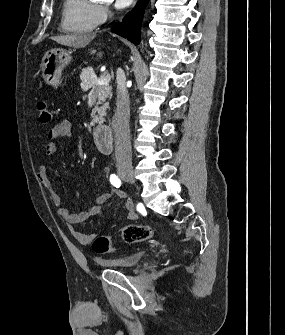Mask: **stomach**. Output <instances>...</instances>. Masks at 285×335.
<instances>
[{"label":"stomach","mask_w":285,"mask_h":335,"mask_svg":"<svg viewBox=\"0 0 285 335\" xmlns=\"http://www.w3.org/2000/svg\"><path fill=\"white\" fill-rule=\"evenodd\" d=\"M72 56L69 50L54 48L46 52L41 60L42 78L48 86H60L62 70L71 62Z\"/></svg>","instance_id":"stomach-1"}]
</instances>
